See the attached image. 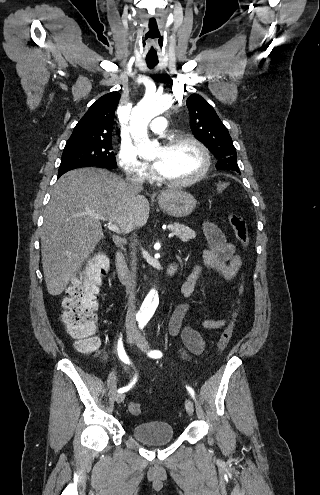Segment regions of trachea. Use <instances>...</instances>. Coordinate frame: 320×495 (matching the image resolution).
<instances>
[{
	"mask_svg": "<svg viewBox=\"0 0 320 495\" xmlns=\"http://www.w3.org/2000/svg\"><path fill=\"white\" fill-rule=\"evenodd\" d=\"M146 62H147V65H148L150 68L154 67V66L157 64V61H150V60H147Z\"/></svg>",
	"mask_w": 320,
	"mask_h": 495,
	"instance_id": "obj_1",
	"label": "trachea"
}]
</instances>
